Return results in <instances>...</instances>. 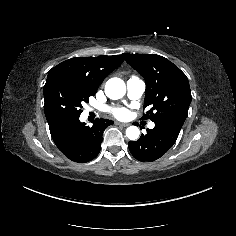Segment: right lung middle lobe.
<instances>
[{"instance_id":"obj_1","label":"right lung middle lobe","mask_w":236,"mask_h":236,"mask_svg":"<svg viewBox=\"0 0 236 236\" xmlns=\"http://www.w3.org/2000/svg\"><path fill=\"white\" fill-rule=\"evenodd\" d=\"M43 92L49 128L79 117L82 103L95 94L84 80L60 72L48 74Z\"/></svg>"}]
</instances>
